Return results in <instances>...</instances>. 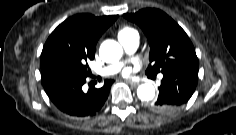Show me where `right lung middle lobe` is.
I'll use <instances>...</instances> for the list:
<instances>
[{"label":"right lung middle lobe","instance_id":"1","mask_svg":"<svg viewBox=\"0 0 236 135\" xmlns=\"http://www.w3.org/2000/svg\"><path fill=\"white\" fill-rule=\"evenodd\" d=\"M95 50L57 39L46 42L41 54V72H72L90 74L88 61L93 60Z\"/></svg>","mask_w":236,"mask_h":135}]
</instances>
